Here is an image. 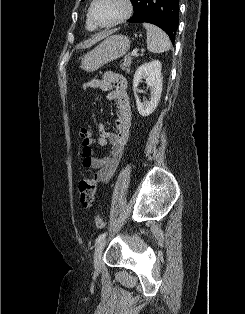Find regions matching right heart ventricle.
<instances>
[{"label": "right heart ventricle", "instance_id": "e07e8e85", "mask_svg": "<svg viewBox=\"0 0 245 314\" xmlns=\"http://www.w3.org/2000/svg\"><path fill=\"white\" fill-rule=\"evenodd\" d=\"M86 28L87 30L89 31H94L96 28L92 25V23L89 21L88 19V16H87V19H86Z\"/></svg>", "mask_w": 245, "mask_h": 314}]
</instances>
